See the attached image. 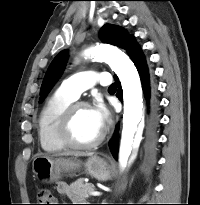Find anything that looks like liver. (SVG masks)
<instances>
[{
	"instance_id": "1",
	"label": "liver",
	"mask_w": 200,
	"mask_h": 205,
	"mask_svg": "<svg viewBox=\"0 0 200 205\" xmlns=\"http://www.w3.org/2000/svg\"><path fill=\"white\" fill-rule=\"evenodd\" d=\"M60 155H65V156H69V155H74V156H92L93 153H84V152H63Z\"/></svg>"
}]
</instances>
